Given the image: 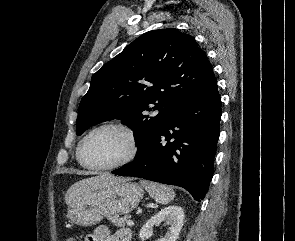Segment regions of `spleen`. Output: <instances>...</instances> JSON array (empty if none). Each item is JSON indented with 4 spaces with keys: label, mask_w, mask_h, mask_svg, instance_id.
Instances as JSON below:
<instances>
[{
    "label": "spleen",
    "mask_w": 295,
    "mask_h": 241,
    "mask_svg": "<svg viewBox=\"0 0 295 241\" xmlns=\"http://www.w3.org/2000/svg\"><path fill=\"white\" fill-rule=\"evenodd\" d=\"M140 184L145 188L149 195L160 204H168L175 197V192L166 185L146 180H141Z\"/></svg>",
    "instance_id": "1"
}]
</instances>
